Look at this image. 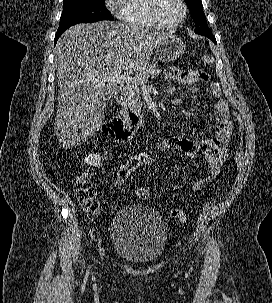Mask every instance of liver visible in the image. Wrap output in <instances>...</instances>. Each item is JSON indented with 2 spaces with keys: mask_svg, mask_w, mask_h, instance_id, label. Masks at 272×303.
Instances as JSON below:
<instances>
[{
  "mask_svg": "<svg viewBox=\"0 0 272 303\" xmlns=\"http://www.w3.org/2000/svg\"><path fill=\"white\" fill-rule=\"evenodd\" d=\"M169 35L114 21L74 25L61 35L55 49L58 106L54 128L64 147L87 141L103 124L114 86L96 80L142 71Z\"/></svg>",
  "mask_w": 272,
  "mask_h": 303,
  "instance_id": "6515ba94",
  "label": "liver"
}]
</instances>
